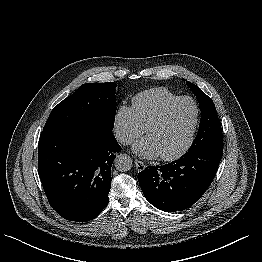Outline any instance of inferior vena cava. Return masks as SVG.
Returning <instances> with one entry per match:
<instances>
[{
	"mask_svg": "<svg viewBox=\"0 0 262 262\" xmlns=\"http://www.w3.org/2000/svg\"><path fill=\"white\" fill-rule=\"evenodd\" d=\"M116 139L123 145H128L132 142V138L126 134H117Z\"/></svg>",
	"mask_w": 262,
	"mask_h": 262,
	"instance_id": "602c4592",
	"label": "inferior vena cava"
}]
</instances>
